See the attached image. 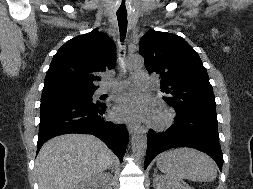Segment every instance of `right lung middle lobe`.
<instances>
[{"instance_id": "right-lung-middle-lobe-1", "label": "right lung middle lobe", "mask_w": 253, "mask_h": 189, "mask_svg": "<svg viewBox=\"0 0 253 189\" xmlns=\"http://www.w3.org/2000/svg\"><path fill=\"white\" fill-rule=\"evenodd\" d=\"M95 90L83 89H53L42 92L41 101L48 99H73L79 101H92Z\"/></svg>"}]
</instances>
